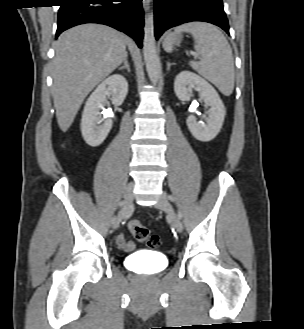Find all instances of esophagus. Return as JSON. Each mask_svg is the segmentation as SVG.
I'll list each match as a JSON object with an SVG mask.
<instances>
[{"mask_svg": "<svg viewBox=\"0 0 304 329\" xmlns=\"http://www.w3.org/2000/svg\"><path fill=\"white\" fill-rule=\"evenodd\" d=\"M142 2L144 9L147 10L149 8L151 0H143Z\"/></svg>", "mask_w": 304, "mask_h": 329, "instance_id": "1", "label": "esophagus"}]
</instances>
